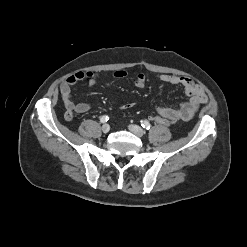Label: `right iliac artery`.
Listing matches in <instances>:
<instances>
[{"instance_id": "right-iliac-artery-1", "label": "right iliac artery", "mask_w": 247, "mask_h": 247, "mask_svg": "<svg viewBox=\"0 0 247 247\" xmlns=\"http://www.w3.org/2000/svg\"><path fill=\"white\" fill-rule=\"evenodd\" d=\"M108 119H109V117H108L107 115H103V116L100 118V122H101V123H105V122L108 121Z\"/></svg>"}]
</instances>
